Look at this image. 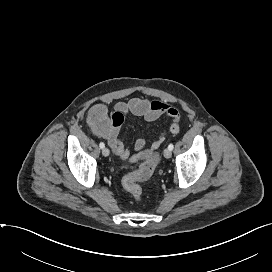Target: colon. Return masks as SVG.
Instances as JSON below:
<instances>
[{
	"label": "colon",
	"mask_w": 272,
	"mask_h": 272,
	"mask_svg": "<svg viewBox=\"0 0 272 272\" xmlns=\"http://www.w3.org/2000/svg\"><path fill=\"white\" fill-rule=\"evenodd\" d=\"M124 116L120 112L109 114L103 105H95L90 109L89 122L96 130H104L109 126L118 127L122 124ZM154 171V162L142 163L139 168L126 175L122 180L124 189L129 192L135 200L142 198V188L138 182L149 179Z\"/></svg>",
	"instance_id": "obj_1"
}]
</instances>
